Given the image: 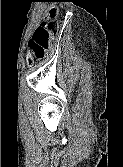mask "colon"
<instances>
[{
	"instance_id": "obj_1",
	"label": "colon",
	"mask_w": 123,
	"mask_h": 167,
	"mask_svg": "<svg viewBox=\"0 0 123 167\" xmlns=\"http://www.w3.org/2000/svg\"><path fill=\"white\" fill-rule=\"evenodd\" d=\"M57 10L51 9L47 20L39 25L33 32L28 42V65L34 64L35 60L41 59L49 47L52 35L58 29Z\"/></svg>"
}]
</instances>
